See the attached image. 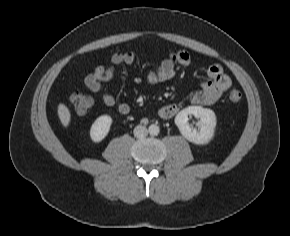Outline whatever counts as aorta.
<instances>
[{"mask_svg": "<svg viewBox=\"0 0 290 236\" xmlns=\"http://www.w3.org/2000/svg\"><path fill=\"white\" fill-rule=\"evenodd\" d=\"M159 127L155 124H152L149 126V129H148V132L151 134V135H158L159 134Z\"/></svg>", "mask_w": 290, "mask_h": 236, "instance_id": "762f6f07", "label": "aorta"}]
</instances>
